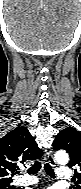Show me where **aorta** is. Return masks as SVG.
<instances>
[{"mask_svg": "<svg viewBox=\"0 0 81 189\" xmlns=\"http://www.w3.org/2000/svg\"><path fill=\"white\" fill-rule=\"evenodd\" d=\"M55 160L59 164H67L69 161V156L65 151H57L55 154Z\"/></svg>", "mask_w": 81, "mask_h": 189, "instance_id": "aorta-1", "label": "aorta"}]
</instances>
